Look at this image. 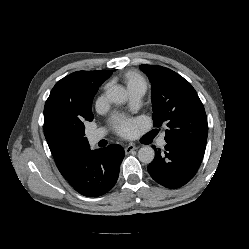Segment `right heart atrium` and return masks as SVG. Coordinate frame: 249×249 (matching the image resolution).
I'll return each instance as SVG.
<instances>
[{"mask_svg":"<svg viewBox=\"0 0 249 249\" xmlns=\"http://www.w3.org/2000/svg\"><path fill=\"white\" fill-rule=\"evenodd\" d=\"M103 98H104V95L102 94L99 101L103 100Z\"/></svg>","mask_w":249,"mask_h":249,"instance_id":"obj_1","label":"right heart atrium"}]
</instances>
